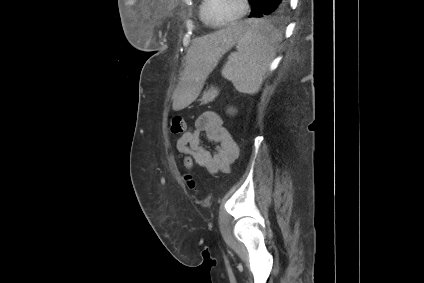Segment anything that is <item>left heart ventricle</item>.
I'll use <instances>...</instances> for the list:
<instances>
[{"label":"left heart ventricle","instance_id":"1","mask_svg":"<svg viewBox=\"0 0 424 283\" xmlns=\"http://www.w3.org/2000/svg\"><path fill=\"white\" fill-rule=\"evenodd\" d=\"M241 0H210L208 6V20L211 23H220L236 16L241 11Z\"/></svg>","mask_w":424,"mask_h":283}]
</instances>
